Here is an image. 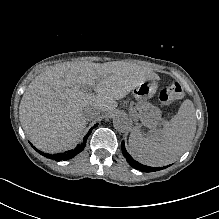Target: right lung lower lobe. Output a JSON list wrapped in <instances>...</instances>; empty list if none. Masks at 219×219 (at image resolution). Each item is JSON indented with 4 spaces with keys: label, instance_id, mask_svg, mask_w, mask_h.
Returning a JSON list of instances; mask_svg holds the SVG:
<instances>
[{
    "label": "right lung lower lobe",
    "instance_id": "1",
    "mask_svg": "<svg viewBox=\"0 0 219 219\" xmlns=\"http://www.w3.org/2000/svg\"><path fill=\"white\" fill-rule=\"evenodd\" d=\"M97 125L98 124L94 125V127H96ZM94 127H92L89 130L88 135L91 133V131H92V129ZM88 135L86 137H84V141H83V143L81 145H78L74 150H70V151H67L65 153H59V154L50 155V154H44L43 152L37 150L36 148H34V147L33 148L36 151H38L41 155H43V156H45L47 158H52V159H54L56 161L67 160V159H70V158L74 157L75 155H77L78 153H80L84 149V147L86 145V140H87Z\"/></svg>",
    "mask_w": 219,
    "mask_h": 219
}]
</instances>
